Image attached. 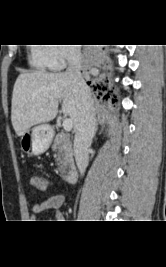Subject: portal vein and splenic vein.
Wrapping results in <instances>:
<instances>
[{
	"label": "portal vein and splenic vein",
	"mask_w": 166,
	"mask_h": 267,
	"mask_svg": "<svg viewBox=\"0 0 166 267\" xmlns=\"http://www.w3.org/2000/svg\"><path fill=\"white\" fill-rule=\"evenodd\" d=\"M72 127H73L72 120L70 118L64 119V121H63L64 130L68 132V131H70L72 129Z\"/></svg>",
	"instance_id": "portal-vein-and-splenic-vein-1"
}]
</instances>
